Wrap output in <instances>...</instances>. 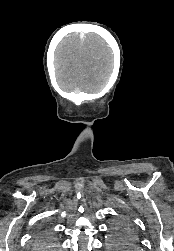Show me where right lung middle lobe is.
Returning a JSON list of instances; mask_svg holds the SVG:
<instances>
[{
    "label": "right lung middle lobe",
    "instance_id": "right-lung-middle-lobe-1",
    "mask_svg": "<svg viewBox=\"0 0 174 251\" xmlns=\"http://www.w3.org/2000/svg\"><path fill=\"white\" fill-rule=\"evenodd\" d=\"M55 242L50 240L46 233H41L36 239L34 245L36 250L44 248L43 250H53L55 248Z\"/></svg>",
    "mask_w": 174,
    "mask_h": 251
}]
</instances>
